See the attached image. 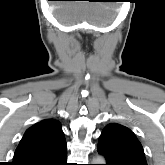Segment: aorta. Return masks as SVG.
Listing matches in <instances>:
<instances>
[{"mask_svg":"<svg viewBox=\"0 0 165 165\" xmlns=\"http://www.w3.org/2000/svg\"><path fill=\"white\" fill-rule=\"evenodd\" d=\"M93 164H105V158L101 155H98L93 159Z\"/></svg>","mask_w":165,"mask_h":165,"instance_id":"1","label":"aorta"}]
</instances>
